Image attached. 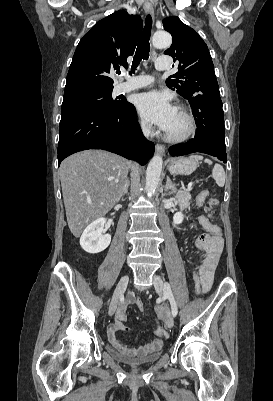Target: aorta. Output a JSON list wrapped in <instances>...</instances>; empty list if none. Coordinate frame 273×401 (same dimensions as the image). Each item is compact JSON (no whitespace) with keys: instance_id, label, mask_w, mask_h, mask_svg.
Returning <instances> with one entry per match:
<instances>
[{"instance_id":"1","label":"aorta","mask_w":273,"mask_h":401,"mask_svg":"<svg viewBox=\"0 0 273 401\" xmlns=\"http://www.w3.org/2000/svg\"><path fill=\"white\" fill-rule=\"evenodd\" d=\"M172 43V37L165 31H158L153 35L152 44L155 48L161 49L169 47ZM163 159L160 155H155L149 162L146 170V192L152 196L158 183L162 171Z\"/></svg>"}]
</instances>
